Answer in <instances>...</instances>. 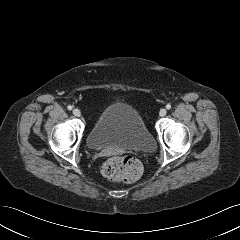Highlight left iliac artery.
I'll return each mask as SVG.
<instances>
[{
    "mask_svg": "<svg viewBox=\"0 0 240 240\" xmlns=\"http://www.w3.org/2000/svg\"><path fill=\"white\" fill-rule=\"evenodd\" d=\"M166 108L169 110V109H171V105L170 104H167L166 105Z\"/></svg>",
    "mask_w": 240,
    "mask_h": 240,
    "instance_id": "obj_1",
    "label": "left iliac artery"
}]
</instances>
